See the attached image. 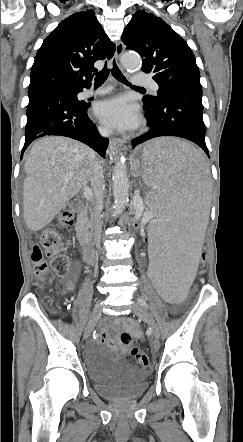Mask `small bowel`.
<instances>
[{
    "label": "small bowel",
    "mask_w": 243,
    "mask_h": 442,
    "mask_svg": "<svg viewBox=\"0 0 243 442\" xmlns=\"http://www.w3.org/2000/svg\"><path fill=\"white\" fill-rule=\"evenodd\" d=\"M78 278L77 272L67 277L63 281V288L67 291H72L75 288L76 280ZM113 327L115 331L127 330L131 335L137 339L142 336V332L139 329L136 322L132 319L117 318L115 319L113 326L109 320H104L101 324L100 335L98 341L105 344L110 349L121 348L123 352L127 351L125 346L118 343L116 336L110 333V329Z\"/></svg>",
    "instance_id": "small-bowel-1"
}]
</instances>
